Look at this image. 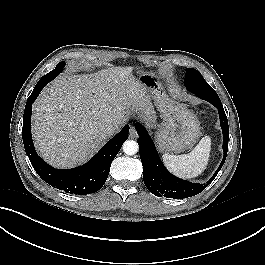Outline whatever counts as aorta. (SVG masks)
<instances>
[{
    "label": "aorta",
    "mask_w": 265,
    "mask_h": 265,
    "mask_svg": "<svg viewBox=\"0 0 265 265\" xmlns=\"http://www.w3.org/2000/svg\"><path fill=\"white\" fill-rule=\"evenodd\" d=\"M123 152L127 155H134L138 151V144L134 140H127L123 144Z\"/></svg>",
    "instance_id": "762f6f07"
}]
</instances>
